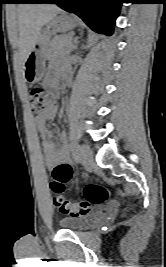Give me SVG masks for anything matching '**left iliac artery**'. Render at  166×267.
I'll return each instance as SVG.
<instances>
[{"mask_svg": "<svg viewBox=\"0 0 166 267\" xmlns=\"http://www.w3.org/2000/svg\"><path fill=\"white\" fill-rule=\"evenodd\" d=\"M74 157L76 160H80V154L78 151V146L76 144H74Z\"/></svg>", "mask_w": 166, "mask_h": 267, "instance_id": "1", "label": "left iliac artery"}]
</instances>
